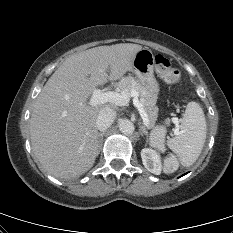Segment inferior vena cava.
<instances>
[{"instance_id":"obj_1","label":"inferior vena cava","mask_w":233,"mask_h":233,"mask_svg":"<svg viewBox=\"0 0 233 233\" xmlns=\"http://www.w3.org/2000/svg\"><path fill=\"white\" fill-rule=\"evenodd\" d=\"M116 118V112L111 108H103L96 119L97 129L100 131L107 130Z\"/></svg>"}]
</instances>
